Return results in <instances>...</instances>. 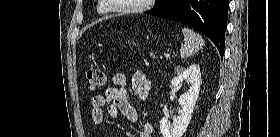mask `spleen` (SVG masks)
<instances>
[{
    "mask_svg": "<svg viewBox=\"0 0 280 137\" xmlns=\"http://www.w3.org/2000/svg\"><path fill=\"white\" fill-rule=\"evenodd\" d=\"M184 44L180 49V56L187 58L196 53L204 45L203 38L191 29L183 28Z\"/></svg>",
    "mask_w": 280,
    "mask_h": 137,
    "instance_id": "3e777b00",
    "label": "spleen"
}]
</instances>
